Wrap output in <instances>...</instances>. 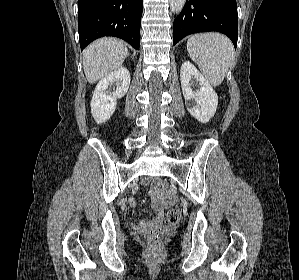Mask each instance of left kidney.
I'll list each match as a JSON object with an SVG mask.
<instances>
[{
  "mask_svg": "<svg viewBox=\"0 0 299 280\" xmlns=\"http://www.w3.org/2000/svg\"><path fill=\"white\" fill-rule=\"evenodd\" d=\"M181 86L188 112L201 123H207L214 116L218 96L210 83L189 61H185L180 70ZM195 78L200 88L193 91L190 80Z\"/></svg>",
  "mask_w": 299,
  "mask_h": 280,
  "instance_id": "obj_1",
  "label": "left kidney"
}]
</instances>
